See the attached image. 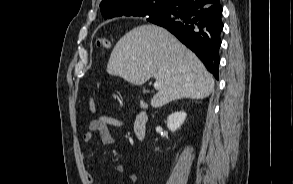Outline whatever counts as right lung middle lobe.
Wrapping results in <instances>:
<instances>
[{
    "label": "right lung middle lobe",
    "instance_id": "obj_1",
    "mask_svg": "<svg viewBox=\"0 0 293 184\" xmlns=\"http://www.w3.org/2000/svg\"><path fill=\"white\" fill-rule=\"evenodd\" d=\"M141 16H149L148 19H157V18H160L162 16V12H158L157 9L156 10L155 9H149V10H144L141 13Z\"/></svg>",
    "mask_w": 293,
    "mask_h": 184
}]
</instances>
